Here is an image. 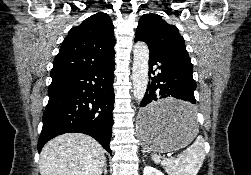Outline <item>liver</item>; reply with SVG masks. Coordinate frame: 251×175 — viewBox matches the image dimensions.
Returning a JSON list of instances; mask_svg holds the SVG:
<instances>
[{
    "mask_svg": "<svg viewBox=\"0 0 251 175\" xmlns=\"http://www.w3.org/2000/svg\"><path fill=\"white\" fill-rule=\"evenodd\" d=\"M105 153L98 141L84 133L57 135L41 149V175H101Z\"/></svg>",
    "mask_w": 251,
    "mask_h": 175,
    "instance_id": "6515ba94",
    "label": "liver"
}]
</instances>
